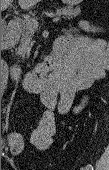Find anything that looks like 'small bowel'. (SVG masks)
I'll return each instance as SVG.
<instances>
[{"label": "small bowel", "mask_w": 109, "mask_h": 170, "mask_svg": "<svg viewBox=\"0 0 109 170\" xmlns=\"http://www.w3.org/2000/svg\"><path fill=\"white\" fill-rule=\"evenodd\" d=\"M78 42L81 45H85L87 47L88 46L89 47L99 46V42L91 41V40H88V39H78ZM96 77L97 76L94 72L88 71L87 74H86V83L91 82ZM51 98H52V96H51L50 93H45L44 100L47 103L51 102ZM54 123H55L54 114L52 112H46L41 124L38 127L37 132L35 133V135L33 137V144L36 147L44 148L50 143L51 134H52V131L54 129Z\"/></svg>", "instance_id": "c3829d8e"}]
</instances>
